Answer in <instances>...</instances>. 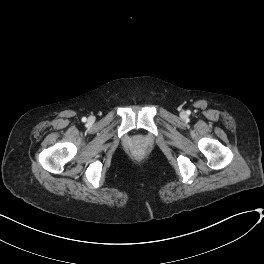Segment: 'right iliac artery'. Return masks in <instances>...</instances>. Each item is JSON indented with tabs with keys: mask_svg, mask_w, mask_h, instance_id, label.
<instances>
[{
	"mask_svg": "<svg viewBox=\"0 0 264 264\" xmlns=\"http://www.w3.org/2000/svg\"><path fill=\"white\" fill-rule=\"evenodd\" d=\"M86 120H87L86 117H83V118H82V121H83V122H85Z\"/></svg>",
	"mask_w": 264,
	"mask_h": 264,
	"instance_id": "right-iliac-artery-1",
	"label": "right iliac artery"
}]
</instances>
